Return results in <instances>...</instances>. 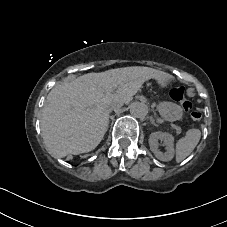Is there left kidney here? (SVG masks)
Segmentation results:
<instances>
[{"instance_id": "5707ae66", "label": "left kidney", "mask_w": 227, "mask_h": 227, "mask_svg": "<svg viewBox=\"0 0 227 227\" xmlns=\"http://www.w3.org/2000/svg\"><path fill=\"white\" fill-rule=\"evenodd\" d=\"M158 140L164 142L166 151L161 152L158 149ZM150 150L154 153L157 159L161 161H170L174 157V137L167 132H153L149 137Z\"/></svg>"}]
</instances>
